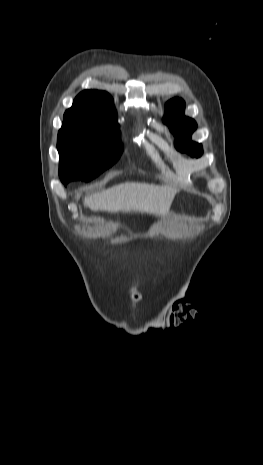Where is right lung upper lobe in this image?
Returning <instances> with one entry per match:
<instances>
[{"mask_svg":"<svg viewBox=\"0 0 263 465\" xmlns=\"http://www.w3.org/2000/svg\"><path fill=\"white\" fill-rule=\"evenodd\" d=\"M64 116H80L117 123L112 97L107 92L97 90L81 92Z\"/></svg>","mask_w":263,"mask_h":465,"instance_id":"1","label":"right lung upper lobe"}]
</instances>
